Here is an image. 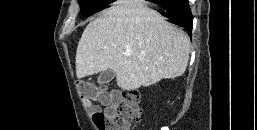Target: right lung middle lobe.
<instances>
[{
    "instance_id": "right-lung-middle-lobe-1",
    "label": "right lung middle lobe",
    "mask_w": 257,
    "mask_h": 130,
    "mask_svg": "<svg viewBox=\"0 0 257 130\" xmlns=\"http://www.w3.org/2000/svg\"><path fill=\"white\" fill-rule=\"evenodd\" d=\"M110 0H79V5L81 7V15L89 16L97 11L102 10L109 3Z\"/></svg>"
}]
</instances>
